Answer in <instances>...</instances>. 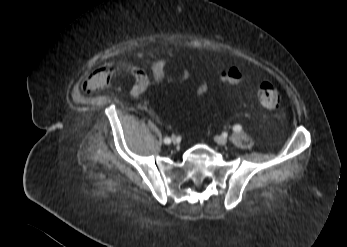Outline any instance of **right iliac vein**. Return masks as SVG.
I'll list each match as a JSON object with an SVG mask.
<instances>
[{"mask_svg":"<svg viewBox=\"0 0 347 247\" xmlns=\"http://www.w3.org/2000/svg\"><path fill=\"white\" fill-rule=\"evenodd\" d=\"M172 142L176 143L177 142V138L176 137H172Z\"/></svg>","mask_w":347,"mask_h":247,"instance_id":"right-iliac-vein-1","label":"right iliac vein"}]
</instances>
